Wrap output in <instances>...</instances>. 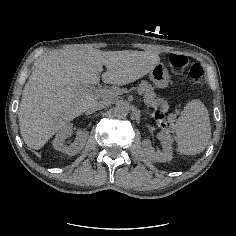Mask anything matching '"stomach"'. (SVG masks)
Listing matches in <instances>:
<instances>
[{
    "label": "stomach",
    "instance_id": "1",
    "mask_svg": "<svg viewBox=\"0 0 236 236\" xmlns=\"http://www.w3.org/2000/svg\"><path fill=\"white\" fill-rule=\"evenodd\" d=\"M151 81L159 88H164L169 82V73L161 63L157 64L150 73Z\"/></svg>",
    "mask_w": 236,
    "mask_h": 236
}]
</instances>
